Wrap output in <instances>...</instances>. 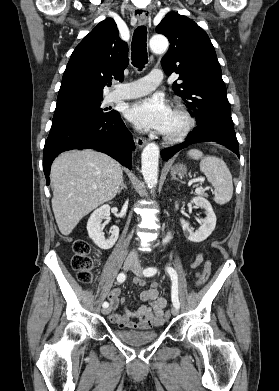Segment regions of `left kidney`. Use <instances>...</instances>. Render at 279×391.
Instances as JSON below:
<instances>
[{
    "label": "left kidney",
    "instance_id": "left-kidney-1",
    "mask_svg": "<svg viewBox=\"0 0 279 391\" xmlns=\"http://www.w3.org/2000/svg\"><path fill=\"white\" fill-rule=\"evenodd\" d=\"M193 202L196 206L205 210L206 218L202 219L201 226L193 232L189 227V223L184 219H180L183 232L188 240L192 242H202L207 239L210 234L213 232L216 226V215L212 209L211 204L203 197H194ZM176 209H178V204L175 205Z\"/></svg>",
    "mask_w": 279,
    "mask_h": 391
}]
</instances>
